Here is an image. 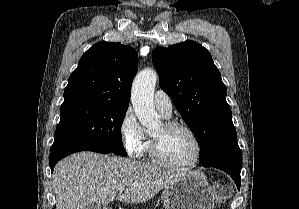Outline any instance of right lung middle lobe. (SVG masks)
I'll list each match as a JSON object with an SVG mask.
<instances>
[{"mask_svg": "<svg viewBox=\"0 0 299 209\" xmlns=\"http://www.w3.org/2000/svg\"><path fill=\"white\" fill-rule=\"evenodd\" d=\"M128 106L106 104L62 105L56 139L101 145L125 156L121 126Z\"/></svg>", "mask_w": 299, "mask_h": 209, "instance_id": "1", "label": "right lung middle lobe"}]
</instances>
